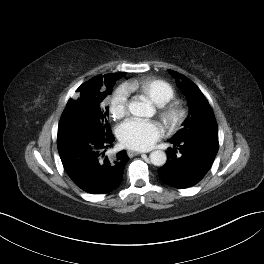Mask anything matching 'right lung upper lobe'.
Returning a JSON list of instances; mask_svg holds the SVG:
<instances>
[{
	"instance_id": "cb5924a9",
	"label": "right lung upper lobe",
	"mask_w": 264,
	"mask_h": 264,
	"mask_svg": "<svg viewBox=\"0 0 264 264\" xmlns=\"http://www.w3.org/2000/svg\"><path fill=\"white\" fill-rule=\"evenodd\" d=\"M123 73H113V74H107L104 75V77L102 76H97L92 78L91 80H89L88 82L82 84L77 91L80 93L83 89H85L86 87H94L96 85L99 84H103L106 85L107 83H109L110 81H112L113 79L121 76Z\"/></svg>"
}]
</instances>
